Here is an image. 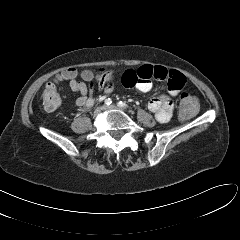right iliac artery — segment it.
Listing matches in <instances>:
<instances>
[{
    "mask_svg": "<svg viewBox=\"0 0 240 240\" xmlns=\"http://www.w3.org/2000/svg\"><path fill=\"white\" fill-rule=\"evenodd\" d=\"M104 103H105V105H111L112 104V100L110 99V98H108V99H106L105 101H104Z\"/></svg>",
    "mask_w": 240,
    "mask_h": 240,
    "instance_id": "obj_1",
    "label": "right iliac artery"
}]
</instances>
